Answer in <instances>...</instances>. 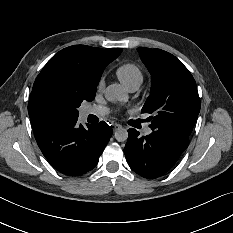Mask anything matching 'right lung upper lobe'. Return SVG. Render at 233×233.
Returning <instances> with one entry per match:
<instances>
[{"label":"right lung upper lobe","mask_w":233,"mask_h":233,"mask_svg":"<svg viewBox=\"0 0 233 233\" xmlns=\"http://www.w3.org/2000/svg\"><path fill=\"white\" fill-rule=\"evenodd\" d=\"M121 48L101 49L74 45L56 53L37 76L28 102L33 129L48 123L42 115L46 91L57 84L96 87L104 68L117 58Z\"/></svg>","instance_id":"cb5924a9"}]
</instances>
